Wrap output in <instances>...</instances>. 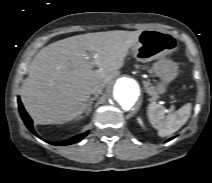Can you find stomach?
Masks as SVG:
<instances>
[{
  "label": "stomach",
  "instance_id": "0dacf381",
  "mask_svg": "<svg viewBox=\"0 0 212 183\" xmlns=\"http://www.w3.org/2000/svg\"><path fill=\"white\" fill-rule=\"evenodd\" d=\"M176 49L177 40L171 33L155 29L143 30L137 43L131 49L133 56L138 61L144 63L155 61L152 71L161 80L155 86L158 94H164L168 84L179 73L177 63L167 58Z\"/></svg>",
  "mask_w": 212,
  "mask_h": 183
}]
</instances>
